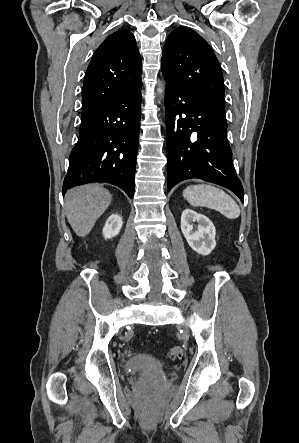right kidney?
<instances>
[{"label": "right kidney", "mask_w": 299, "mask_h": 443, "mask_svg": "<svg viewBox=\"0 0 299 443\" xmlns=\"http://www.w3.org/2000/svg\"><path fill=\"white\" fill-rule=\"evenodd\" d=\"M122 225V218L117 214H112L107 219L103 228V236L105 237V239H110L116 236L120 232Z\"/></svg>", "instance_id": "ca27d5eb"}]
</instances>
